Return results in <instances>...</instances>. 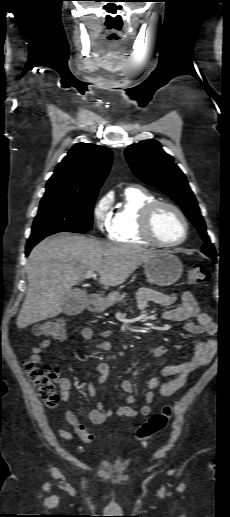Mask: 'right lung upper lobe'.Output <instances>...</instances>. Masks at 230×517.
Listing matches in <instances>:
<instances>
[{"instance_id":"obj_1","label":"right lung upper lobe","mask_w":230,"mask_h":517,"mask_svg":"<svg viewBox=\"0 0 230 517\" xmlns=\"http://www.w3.org/2000/svg\"><path fill=\"white\" fill-rule=\"evenodd\" d=\"M112 156L104 146L75 144L57 165L43 197L98 193L109 173Z\"/></svg>"}]
</instances>
